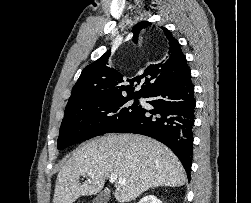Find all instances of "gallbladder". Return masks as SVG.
Segmentation results:
<instances>
[{"mask_svg": "<svg viewBox=\"0 0 251 203\" xmlns=\"http://www.w3.org/2000/svg\"><path fill=\"white\" fill-rule=\"evenodd\" d=\"M110 199V191L108 189L103 190L100 194L94 198L93 203H107Z\"/></svg>", "mask_w": 251, "mask_h": 203, "instance_id": "gallbladder-1", "label": "gallbladder"}]
</instances>
